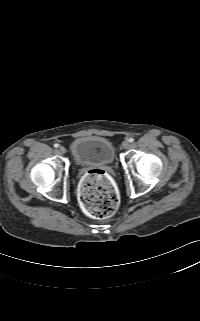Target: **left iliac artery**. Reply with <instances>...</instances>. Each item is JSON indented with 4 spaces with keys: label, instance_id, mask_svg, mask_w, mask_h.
Returning a JSON list of instances; mask_svg holds the SVG:
<instances>
[{
    "label": "left iliac artery",
    "instance_id": "obj_1",
    "mask_svg": "<svg viewBox=\"0 0 200 321\" xmlns=\"http://www.w3.org/2000/svg\"><path fill=\"white\" fill-rule=\"evenodd\" d=\"M130 143H132L133 141H134V139L133 138H129V140H128Z\"/></svg>",
    "mask_w": 200,
    "mask_h": 321
}]
</instances>
